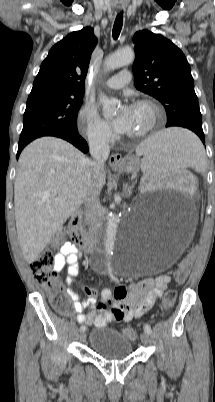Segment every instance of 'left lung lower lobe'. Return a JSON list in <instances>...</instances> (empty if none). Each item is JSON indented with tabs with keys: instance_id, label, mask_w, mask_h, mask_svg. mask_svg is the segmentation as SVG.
Segmentation results:
<instances>
[{
	"instance_id": "obj_1",
	"label": "left lung lower lobe",
	"mask_w": 215,
	"mask_h": 402,
	"mask_svg": "<svg viewBox=\"0 0 215 402\" xmlns=\"http://www.w3.org/2000/svg\"><path fill=\"white\" fill-rule=\"evenodd\" d=\"M171 126H180V127L188 128V129L192 130L193 132H195L200 137V139L202 140L203 144L205 143L204 133H203L202 129L195 128V127L185 125V124H182V123L166 124V127H171Z\"/></svg>"
}]
</instances>
